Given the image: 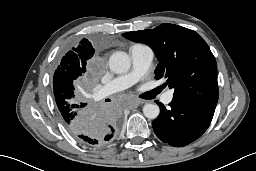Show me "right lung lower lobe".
Returning <instances> with one entry per match:
<instances>
[{
	"label": "right lung lower lobe",
	"mask_w": 256,
	"mask_h": 171,
	"mask_svg": "<svg viewBox=\"0 0 256 171\" xmlns=\"http://www.w3.org/2000/svg\"><path fill=\"white\" fill-rule=\"evenodd\" d=\"M77 121L67 126L69 132L81 143L88 146H102L110 143L121 126V115L117 106L89 102L73 104Z\"/></svg>",
	"instance_id": "1"
}]
</instances>
